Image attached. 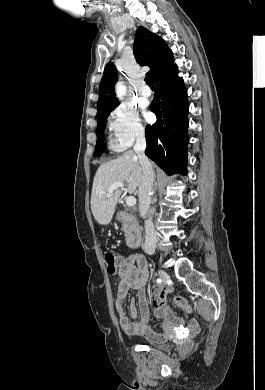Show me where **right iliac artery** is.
Returning <instances> with one entry per match:
<instances>
[{
	"instance_id": "right-iliac-artery-1",
	"label": "right iliac artery",
	"mask_w": 265,
	"mask_h": 390,
	"mask_svg": "<svg viewBox=\"0 0 265 390\" xmlns=\"http://www.w3.org/2000/svg\"><path fill=\"white\" fill-rule=\"evenodd\" d=\"M156 281H157V283H159V284L162 282V280H161L160 278H158Z\"/></svg>"
}]
</instances>
